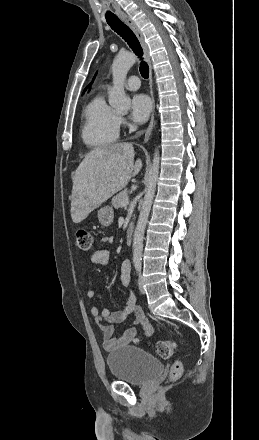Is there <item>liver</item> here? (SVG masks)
<instances>
[{"label":"liver","mask_w":259,"mask_h":440,"mask_svg":"<svg viewBox=\"0 0 259 440\" xmlns=\"http://www.w3.org/2000/svg\"><path fill=\"white\" fill-rule=\"evenodd\" d=\"M131 143H117L90 151L75 171L71 195V217L80 223L112 195L123 189L142 168L134 163Z\"/></svg>","instance_id":"1"}]
</instances>
